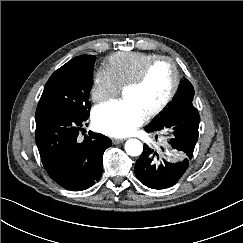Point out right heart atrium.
<instances>
[{"mask_svg":"<svg viewBox=\"0 0 243 243\" xmlns=\"http://www.w3.org/2000/svg\"><path fill=\"white\" fill-rule=\"evenodd\" d=\"M119 90V85L106 68H100L93 73L90 96L95 103L115 97Z\"/></svg>","mask_w":243,"mask_h":243,"instance_id":"right-heart-atrium-1","label":"right heart atrium"}]
</instances>
